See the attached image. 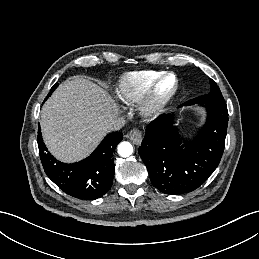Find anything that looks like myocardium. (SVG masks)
<instances>
[{"label":"myocardium","instance_id":"myocardium-1","mask_svg":"<svg viewBox=\"0 0 259 259\" xmlns=\"http://www.w3.org/2000/svg\"><path fill=\"white\" fill-rule=\"evenodd\" d=\"M168 77H173L174 83L170 90L160 95L158 88ZM179 87V80L173 72H163L155 78L138 101L139 114L144 118L157 116L173 99Z\"/></svg>","mask_w":259,"mask_h":259}]
</instances>
